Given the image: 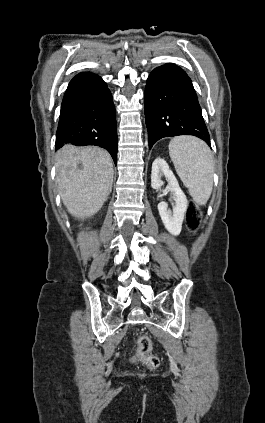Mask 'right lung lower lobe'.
<instances>
[{"instance_id":"98d812e1","label":"right lung lower lobe","mask_w":265,"mask_h":423,"mask_svg":"<svg viewBox=\"0 0 265 423\" xmlns=\"http://www.w3.org/2000/svg\"><path fill=\"white\" fill-rule=\"evenodd\" d=\"M105 148L117 163L116 113L105 82L89 72L69 83L61 105L56 149L65 144Z\"/></svg>"}]
</instances>
